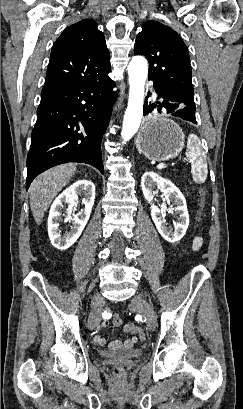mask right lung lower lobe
Here are the masks:
<instances>
[{
	"instance_id": "obj_1",
	"label": "right lung lower lobe",
	"mask_w": 243,
	"mask_h": 409,
	"mask_svg": "<svg viewBox=\"0 0 243 409\" xmlns=\"http://www.w3.org/2000/svg\"><path fill=\"white\" fill-rule=\"evenodd\" d=\"M107 74L42 89L27 155L26 189L41 172L67 162L87 163L104 174L101 140L116 99Z\"/></svg>"
}]
</instances>
